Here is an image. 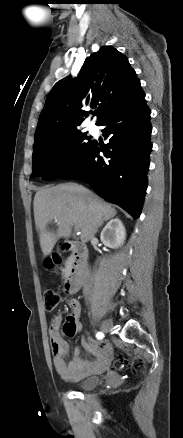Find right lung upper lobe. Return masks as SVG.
Instances as JSON below:
<instances>
[{"label": "right lung upper lobe", "instance_id": "right-lung-upper-lobe-1", "mask_svg": "<svg viewBox=\"0 0 183 438\" xmlns=\"http://www.w3.org/2000/svg\"><path fill=\"white\" fill-rule=\"evenodd\" d=\"M143 94L140 81L125 55L113 47H101L88 57L78 77L57 82L40 114L35 140L78 129L88 112L97 108L98 125L111 112Z\"/></svg>", "mask_w": 183, "mask_h": 438}]
</instances>
